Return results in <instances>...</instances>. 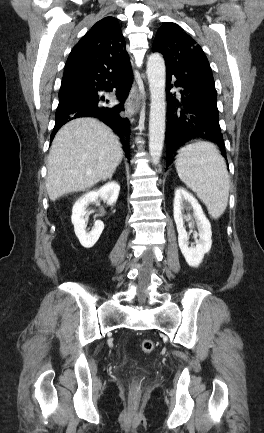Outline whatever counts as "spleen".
<instances>
[{
    "instance_id": "obj_1",
    "label": "spleen",
    "mask_w": 264,
    "mask_h": 433,
    "mask_svg": "<svg viewBox=\"0 0 264 433\" xmlns=\"http://www.w3.org/2000/svg\"><path fill=\"white\" fill-rule=\"evenodd\" d=\"M175 166L180 180L197 194L210 216L218 219L227 207L230 180L216 146L206 141L186 145L179 150Z\"/></svg>"
}]
</instances>
